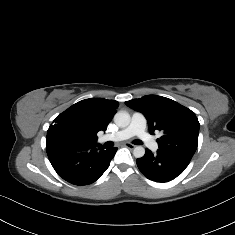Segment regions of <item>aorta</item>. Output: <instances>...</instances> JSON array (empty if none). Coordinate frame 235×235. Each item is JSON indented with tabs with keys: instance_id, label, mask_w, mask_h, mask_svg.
<instances>
[{
	"instance_id": "obj_1",
	"label": "aorta",
	"mask_w": 235,
	"mask_h": 235,
	"mask_svg": "<svg viewBox=\"0 0 235 235\" xmlns=\"http://www.w3.org/2000/svg\"><path fill=\"white\" fill-rule=\"evenodd\" d=\"M114 122L118 127H127L131 122L130 114L124 110L118 111L114 116ZM133 154L137 158L143 157L145 148L141 145H137L133 150Z\"/></svg>"
}]
</instances>
